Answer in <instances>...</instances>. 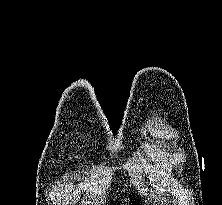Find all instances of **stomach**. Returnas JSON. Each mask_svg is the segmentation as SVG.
Returning <instances> with one entry per match:
<instances>
[{
    "mask_svg": "<svg viewBox=\"0 0 222 205\" xmlns=\"http://www.w3.org/2000/svg\"><path fill=\"white\" fill-rule=\"evenodd\" d=\"M130 202H131V200L129 197H124L121 199V203H122L121 205H130ZM159 205H171V202L166 198H162V199H160Z\"/></svg>",
    "mask_w": 222,
    "mask_h": 205,
    "instance_id": "1",
    "label": "stomach"
}]
</instances>
